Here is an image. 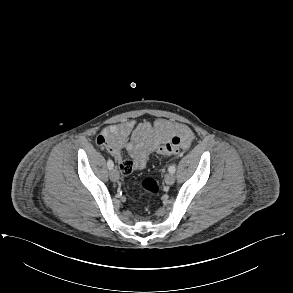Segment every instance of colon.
Instances as JSON below:
<instances>
[{
  "mask_svg": "<svg viewBox=\"0 0 293 293\" xmlns=\"http://www.w3.org/2000/svg\"><path fill=\"white\" fill-rule=\"evenodd\" d=\"M181 148V139L179 136H172L169 140L166 142L162 143L160 146L157 148V153L160 155H174L178 153L179 149ZM141 187L153 194V195H158L161 192V186L158 183L157 180H155L152 177H146L141 181Z\"/></svg>",
  "mask_w": 293,
  "mask_h": 293,
  "instance_id": "colon-1",
  "label": "colon"
}]
</instances>
